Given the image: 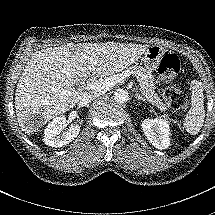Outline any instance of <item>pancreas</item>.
Wrapping results in <instances>:
<instances>
[{"instance_id": "cf45deb5", "label": "pancreas", "mask_w": 215, "mask_h": 215, "mask_svg": "<svg viewBox=\"0 0 215 215\" xmlns=\"http://www.w3.org/2000/svg\"><path fill=\"white\" fill-rule=\"evenodd\" d=\"M127 70L138 80L140 92L145 98V101L149 102L150 105L155 107L157 110L165 112L167 110V106L155 92V86L153 84L154 77L152 73L138 65H132Z\"/></svg>"}]
</instances>
